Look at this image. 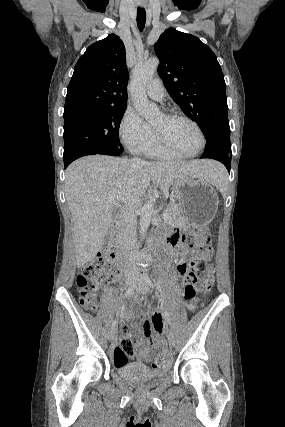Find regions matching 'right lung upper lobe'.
<instances>
[{"mask_svg": "<svg viewBox=\"0 0 285 427\" xmlns=\"http://www.w3.org/2000/svg\"><path fill=\"white\" fill-rule=\"evenodd\" d=\"M128 71L122 40L111 34L80 57L67 88L64 119L107 108L127 107Z\"/></svg>", "mask_w": 285, "mask_h": 427, "instance_id": "cb5924a9", "label": "right lung upper lobe"}]
</instances>
